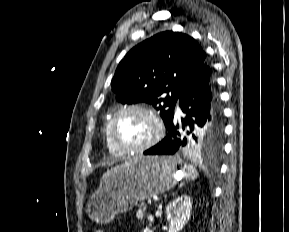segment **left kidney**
Segmentation results:
<instances>
[{
  "mask_svg": "<svg viewBox=\"0 0 289 232\" xmlns=\"http://www.w3.org/2000/svg\"><path fill=\"white\" fill-rule=\"evenodd\" d=\"M192 210L190 196L181 195L170 202L166 207V215L169 221L168 232H179L188 223ZM143 232H152L145 228Z\"/></svg>",
  "mask_w": 289,
  "mask_h": 232,
  "instance_id": "5707ae66",
  "label": "left kidney"
}]
</instances>
